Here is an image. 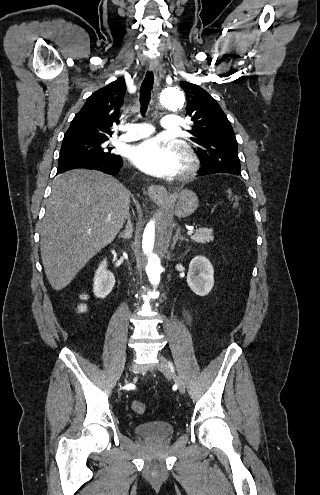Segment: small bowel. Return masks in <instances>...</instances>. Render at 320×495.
Wrapping results in <instances>:
<instances>
[{
    "instance_id": "1",
    "label": "small bowel",
    "mask_w": 320,
    "mask_h": 495,
    "mask_svg": "<svg viewBox=\"0 0 320 495\" xmlns=\"http://www.w3.org/2000/svg\"><path fill=\"white\" fill-rule=\"evenodd\" d=\"M183 315L188 322L192 321V314L189 310H184Z\"/></svg>"
}]
</instances>
